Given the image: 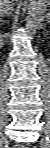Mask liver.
Masks as SVG:
<instances>
[{
	"label": "liver",
	"mask_w": 50,
	"mask_h": 148,
	"mask_svg": "<svg viewBox=\"0 0 50 148\" xmlns=\"http://www.w3.org/2000/svg\"><path fill=\"white\" fill-rule=\"evenodd\" d=\"M3 1H4V0H1V1H0L1 7H2V3H3ZM1 11H2V9H1Z\"/></svg>",
	"instance_id": "liver-1"
}]
</instances>
